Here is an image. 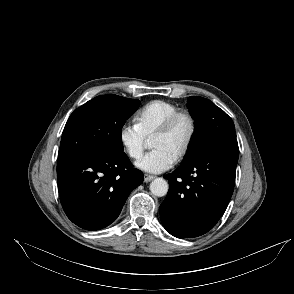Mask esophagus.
Returning <instances> with one entry per match:
<instances>
[{
  "label": "esophagus",
  "mask_w": 294,
  "mask_h": 294,
  "mask_svg": "<svg viewBox=\"0 0 294 294\" xmlns=\"http://www.w3.org/2000/svg\"><path fill=\"white\" fill-rule=\"evenodd\" d=\"M154 178H155V176H153V175L144 174V182H146V183L152 181Z\"/></svg>",
  "instance_id": "esophagus-1"
}]
</instances>
